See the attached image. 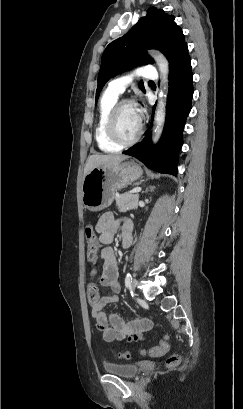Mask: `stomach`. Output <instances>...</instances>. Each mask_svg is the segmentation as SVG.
Returning a JSON list of instances; mask_svg holds the SVG:
<instances>
[{"instance_id":"1","label":"stomach","mask_w":243,"mask_h":409,"mask_svg":"<svg viewBox=\"0 0 243 409\" xmlns=\"http://www.w3.org/2000/svg\"><path fill=\"white\" fill-rule=\"evenodd\" d=\"M143 174L142 168L132 162H122L107 168H93L82 183V202L89 211L96 212L110 206L115 193Z\"/></svg>"}]
</instances>
